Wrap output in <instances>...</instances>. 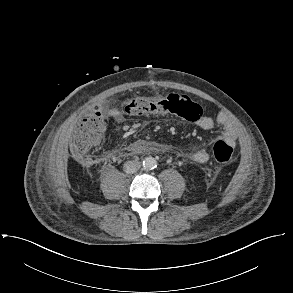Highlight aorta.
<instances>
[{
	"instance_id": "aorta-1",
	"label": "aorta",
	"mask_w": 293,
	"mask_h": 293,
	"mask_svg": "<svg viewBox=\"0 0 293 293\" xmlns=\"http://www.w3.org/2000/svg\"><path fill=\"white\" fill-rule=\"evenodd\" d=\"M143 167L146 169H154L157 167V161L153 157H146L143 160Z\"/></svg>"
}]
</instances>
